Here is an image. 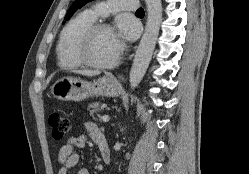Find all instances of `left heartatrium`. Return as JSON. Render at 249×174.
Instances as JSON below:
<instances>
[{"instance_id":"1","label":"left heart atrium","mask_w":249,"mask_h":174,"mask_svg":"<svg viewBox=\"0 0 249 174\" xmlns=\"http://www.w3.org/2000/svg\"><path fill=\"white\" fill-rule=\"evenodd\" d=\"M137 35V29L134 23L130 21L121 22L119 26V31L117 33L118 38L126 37V38H135Z\"/></svg>"}]
</instances>
